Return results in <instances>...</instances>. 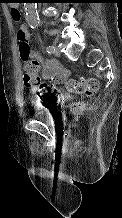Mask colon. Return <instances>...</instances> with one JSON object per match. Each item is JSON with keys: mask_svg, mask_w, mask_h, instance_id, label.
Returning a JSON list of instances; mask_svg holds the SVG:
<instances>
[{"mask_svg": "<svg viewBox=\"0 0 122 218\" xmlns=\"http://www.w3.org/2000/svg\"><path fill=\"white\" fill-rule=\"evenodd\" d=\"M11 15L15 22L21 20V12L18 8L11 9ZM17 40L20 52V58L24 69L23 81L26 87L31 88L38 96H44L52 92L49 86L40 81L38 77L39 64L31 59V46L27 29L21 25L17 30ZM68 91L91 96L97 92L99 83L95 78H84L80 80H69L66 83ZM82 110V105L79 103L71 106L73 113H78Z\"/></svg>", "mask_w": 122, "mask_h": 218, "instance_id": "5ec220e1", "label": "colon"}]
</instances>
